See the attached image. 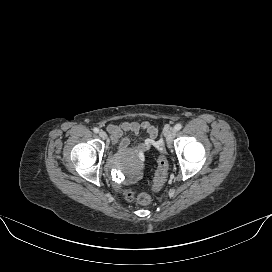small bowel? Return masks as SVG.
<instances>
[{
	"instance_id": "c3829d8e",
	"label": "small bowel",
	"mask_w": 272,
	"mask_h": 272,
	"mask_svg": "<svg viewBox=\"0 0 272 272\" xmlns=\"http://www.w3.org/2000/svg\"><path fill=\"white\" fill-rule=\"evenodd\" d=\"M108 132L111 134V140L118 149L122 151L130 150L133 154L137 155L142 161H144L151 151L152 147L161 146L156 141L158 132L157 129L149 122H124L120 125L110 124L107 127ZM144 132L147 138L137 148L129 149L130 140L123 135L125 133H132L135 135Z\"/></svg>"
}]
</instances>
